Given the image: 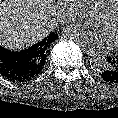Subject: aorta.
I'll list each match as a JSON object with an SVG mask.
<instances>
[{
  "instance_id": "762f6f07",
  "label": "aorta",
  "mask_w": 118,
  "mask_h": 118,
  "mask_svg": "<svg viewBox=\"0 0 118 118\" xmlns=\"http://www.w3.org/2000/svg\"><path fill=\"white\" fill-rule=\"evenodd\" d=\"M94 4L91 1L82 2L77 10L78 16L83 20H89L94 16ZM107 59L102 55H95L90 60L93 71L102 72L107 68Z\"/></svg>"
}]
</instances>
